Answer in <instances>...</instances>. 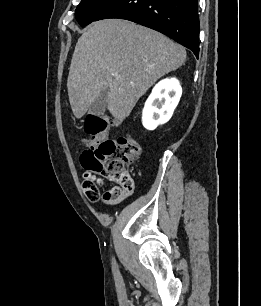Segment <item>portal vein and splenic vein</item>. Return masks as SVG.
Segmentation results:
<instances>
[{"mask_svg":"<svg viewBox=\"0 0 261 306\" xmlns=\"http://www.w3.org/2000/svg\"><path fill=\"white\" fill-rule=\"evenodd\" d=\"M114 77H115V79H118V78H119L117 75H115Z\"/></svg>","mask_w":261,"mask_h":306,"instance_id":"obj_1","label":"portal vein and splenic vein"}]
</instances>
